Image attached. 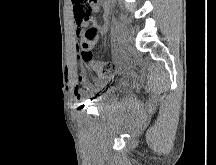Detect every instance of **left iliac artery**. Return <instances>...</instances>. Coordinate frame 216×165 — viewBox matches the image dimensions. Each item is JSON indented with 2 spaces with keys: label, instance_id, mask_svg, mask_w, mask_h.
<instances>
[{
  "label": "left iliac artery",
  "instance_id": "1",
  "mask_svg": "<svg viewBox=\"0 0 216 165\" xmlns=\"http://www.w3.org/2000/svg\"><path fill=\"white\" fill-rule=\"evenodd\" d=\"M117 24H118V21H117V19L114 17V18L112 19V32H115L116 27H117Z\"/></svg>",
  "mask_w": 216,
  "mask_h": 165
}]
</instances>
